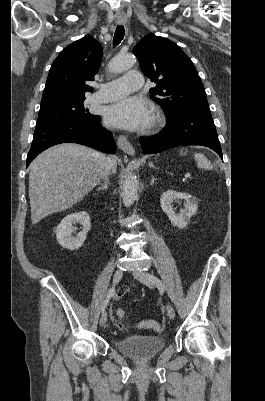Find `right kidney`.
I'll return each mask as SVG.
<instances>
[{
	"label": "right kidney",
	"mask_w": 265,
	"mask_h": 401,
	"mask_svg": "<svg viewBox=\"0 0 265 401\" xmlns=\"http://www.w3.org/2000/svg\"><path fill=\"white\" fill-rule=\"evenodd\" d=\"M79 221L80 225H83L82 231L78 233L77 237H72L73 229L72 223ZM91 221L88 213L81 211V213H73V215H67L65 219H62L60 225L56 227V237L59 245L64 249H70L75 251L82 247L88 231H90Z\"/></svg>",
	"instance_id": "obj_1"
}]
</instances>
